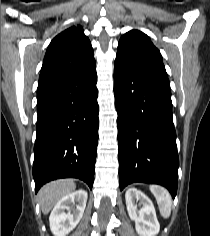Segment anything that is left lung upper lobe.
<instances>
[{"instance_id": "obj_1", "label": "left lung upper lobe", "mask_w": 210, "mask_h": 236, "mask_svg": "<svg viewBox=\"0 0 210 236\" xmlns=\"http://www.w3.org/2000/svg\"><path fill=\"white\" fill-rule=\"evenodd\" d=\"M115 66L124 70L168 78L162 56L150 38L131 30L119 40Z\"/></svg>"}]
</instances>
